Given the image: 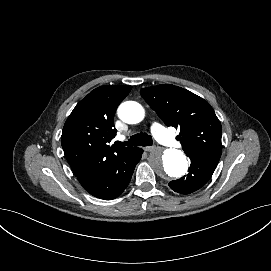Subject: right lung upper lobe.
Returning <instances> with one entry per match:
<instances>
[{"label": "right lung upper lobe", "mask_w": 271, "mask_h": 271, "mask_svg": "<svg viewBox=\"0 0 271 271\" xmlns=\"http://www.w3.org/2000/svg\"><path fill=\"white\" fill-rule=\"evenodd\" d=\"M131 89L126 85L100 86L82 99L66 120L61 144L81 185L135 148L110 144L117 132L114 113Z\"/></svg>", "instance_id": "right-lung-upper-lobe-1"}]
</instances>
